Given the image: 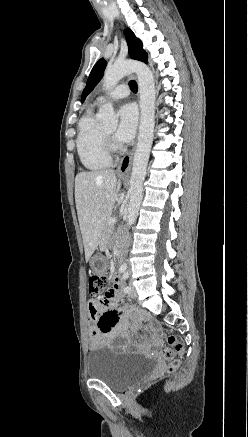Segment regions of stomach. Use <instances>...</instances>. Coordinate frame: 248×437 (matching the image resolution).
<instances>
[{"instance_id":"1","label":"stomach","mask_w":248,"mask_h":437,"mask_svg":"<svg viewBox=\"0 0 248 437\" xmlns=\"http://www.w3.org/2000/svg\"><path fill=\"white\" fill-rule=\"evenodd\" d=\"M90 266L91 273H106L107 267L105 264V259L100 254L92 257L90 260Z\"/></svg>"}]
</instances>
